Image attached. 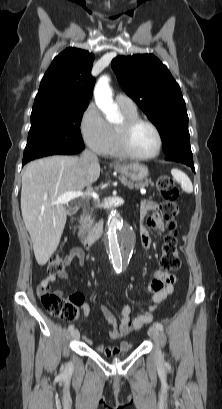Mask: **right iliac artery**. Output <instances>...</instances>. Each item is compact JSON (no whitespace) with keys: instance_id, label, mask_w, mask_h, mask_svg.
<instances>
[{"instance_id":"obj_1","label":"right iliac artery","mask_w":222,"mask_h":409,"mask_svg":"<svg viewBox=\"0 0 222 409\" xmlns=\"http://www.w3.org/2000/svg\"><path fill=\"white\" fill-rule=\"evenodd\" d=\"M74 329V325H70L69 327H68V330L69 331H72Z\"/></svg>"}]
</instances>
